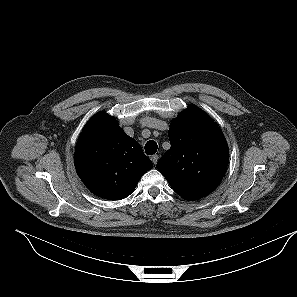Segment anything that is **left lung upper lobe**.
Segmentation results:
<instances>
[{"mask_svg":"<svg viewBox=\"0 0 297 297\" xmlns=\"http://www.w3.org/2000/svg\"><path fill=\"white\" fill-rule=\"evenodd\" d=\"M171 148L157 163L172 189L183 199L205 197L220 184L229 162V148L214 121L190 106L171 122Z\"/></svg>","mask_w":297,"mask_h":297,"instance_id":"left-lung-upper-lobe-1","label":"left lung upper lobe"}]
</instances>
